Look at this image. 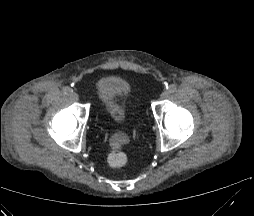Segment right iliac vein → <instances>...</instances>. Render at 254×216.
<instances>
[{
    "mask_svg": "<svg viewBox=\"0 0 254 216\" xmlns=\"http://www.w3.org/2000/svg\"><path fill=\"white\" fill-rule=\"evenodd\" d=\"M71 98H72L74 101H78V100H79V96H78V94L75 93V92L71 94Z\"/></svg>",
    "mask_w": 254,
    "mask_h": 216,
    "instance_id": "right-iliac-vein-1",
    "label": "right iliac vein"
}]
</instances>
